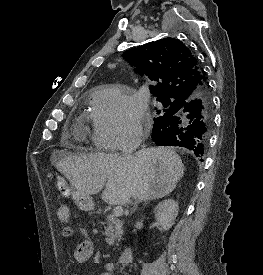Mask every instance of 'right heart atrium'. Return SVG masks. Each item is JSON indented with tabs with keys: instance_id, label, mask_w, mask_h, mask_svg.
Instances as JSON below:
<instances>
[{
	"instance_id": "d8ad5b80",
	"label": "right heart atrium",
	"mask_w": 263,
	"mask_h": 275,
	"mask_svg": "<svg viewBox=\"0 0 263 275\" xmlns=\"http://www.w3.org/2000/svg\"><path fill=\"white\" fill-rule=\"evenodd\" d=\"M145 109L130 89L106 87L94 96L93 139L106 150L134 145L142 136Z\"/></svg>"
}]
</instances>
